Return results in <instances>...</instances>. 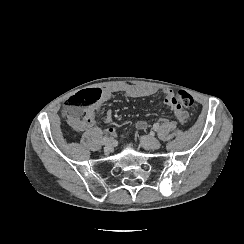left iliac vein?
I'll list each match as a JSON object with an SVG mask.
<instances>
[{
    "instance_id": "left-iliac-vein-1",
    "label": "left iliac vein",
    "mask_w": 244,
    "mask_h": 244,
    "mask_svg": "<svg viewBox=\"0 0 244 244\" xmlns=\"http://www.w3.org/2000/svg\"><path fill=\"white\" fill-rule=\"evenodd\" d=\"M140 142L142 146L146 149L154 150L160 147V142L154 137L141 136Z\"/></svg>"
}]
</instances>
